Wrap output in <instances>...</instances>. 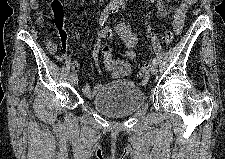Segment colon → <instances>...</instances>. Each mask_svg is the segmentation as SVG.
<instances>
[{
  "instance_id": "obj_1",
  "label": "colon",
  "mask_w": 225,
  "mask_h": 159,
  "mask_svg": "<svg viewBox=\"0 0 225 159\" xmlns=\"http://www.w3.org/2000/svg\"><path fill=\"white\" fill-rule=\"evenodd\" d=\"M54 10H55V14L57 16V24L63 25V22H62V19H61L62 9H61V6L58 2L55 3ZM163 38H164L165 43L169 44L172 41V38H173L172 32L169 31V30L166 31L164 33ZM103 51H104V54H105L106 57H109L111 55V51L108 47H105L103 49ZM148 71H149L148 64H143L138 71V76L146 81L147 78H148Z\"/></svg>"
}]
</instances>
